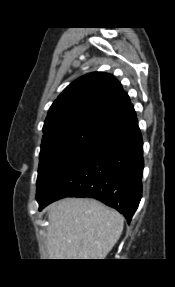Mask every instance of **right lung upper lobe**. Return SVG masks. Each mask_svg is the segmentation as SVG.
Segmentation results:
<instances>
[{
  "mask_svg": "<svg viewBox=\"0 0 175 287\" xmlns=\"http://www.w3.org/2000/svg\"><path fill=\"white\" fill-rule=\"evenodd\" d=\"M129 96L113 75L86 74L71 84L51 105L43 126L48 132L60 126L99 122L116 126L135 116Z\"/></svg>",
  "mask_w": 175,
  "mask_h": 287,
  "instance_id": "1",
  "label": "right lung upper lobe"
}]
</instances>
